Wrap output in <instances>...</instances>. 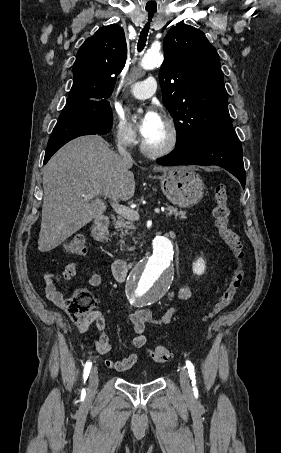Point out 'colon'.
Listing matches in <instances>:
<instances>
[{"label":"colon","mask_w":281,"mask_h":453,"mask_svg":"<svg viewBox=\"0 0 281 453\" xmlns=\"http://www.w3.org/2000/svg\"><path fill=\"white\" fill-rule=\"evenodd\" d=\"M229 192V184H216L213 188L212 206L214 212V228L220 235L225 246L231 251L234 265L229 283L214 304L204 314L203 323H207L215 315L225 310L234 300L244 283V248L240 236L230 228ZM56 250L64 257H85L87 255V246L81 238L66 239L57 244ZM68 309L75 315H82L85 312L84 308L75 302H71L68 305ZM149 355L154 363H168L171 359V353L168 348H154L150 350Z\"/></svg>","instance_id":"1"}]
</instances>
